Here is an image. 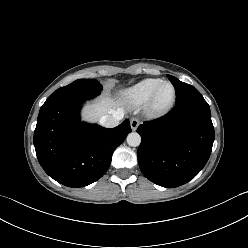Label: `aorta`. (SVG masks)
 <instances>
[{
  "mask_svg": "<svg viewBox=\"0 0 248 248\" xmlns=\"http://www.w3.org/2000/svg\"><path fill=\"white\" fill-rule=\"evenodd\" d=\"M126 140L129 146L137 147L141 143V136L136 132H132L128 134Z\"/></svg>",
  "mask_w": 248,
  "mask_h": 248,
  "instance_id": "obj_1",
  "label": "aorta"
}]
</instances>
